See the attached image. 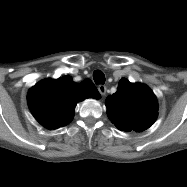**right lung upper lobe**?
Masks as SVG:
<instances>
[{
  "label": "right lung upper lobe",
  "mask_w": 187,
  "mask_h": 187,
  "mask_svg": "<svg viewBox=\"0 0 187 187\" xmlns=\"http://www.w3.org/2000/svg\"><path fill=\"white\" fill-rule=\"evenodd\" d=\"M90 97H100L91 80L77 84L70 76H64L37 83L28 91L27 101L38 122L48 129H57L72 121L77 102Z\"/></svg>",
  "instance_id": "1"
}]
</instances>
